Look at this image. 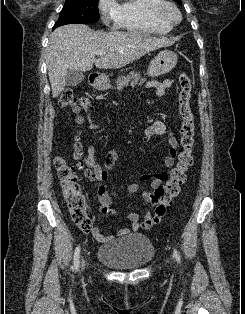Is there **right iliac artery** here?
<instances>
[{
    "instance_id": "1",
    "label": "right iliac artery",
    "mask_w": 245,
    "mask_h": 314,
    "mask_svg": "<svg viewBox=\"0 0 245 314\" xmlns=\"http://www.w3.org/2000/svg\"><path fill=\"white\" fill-rule=\"evenodd\" d=\"M80 245L76 247L75 253H74V263H73V269L78 270L79 264H80Z\"/></svg>"
}]
</instances>
